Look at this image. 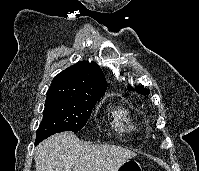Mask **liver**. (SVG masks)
<instances>
[{"mask_svg":"<svg viewBox=\"0 0 199 171\" xmlns=\"http://www.w3.org/2000/svg\"><path fill=\"white\" fill-rule=\"evenodd\" d=\"M135 153L114 145H90L63 132L41 142L35 150L36 171H116Z\"/></svg>","mask_w":199,"mask_h":171,"instance_id":"6515ba94","label":"liver"}]
</instances>
